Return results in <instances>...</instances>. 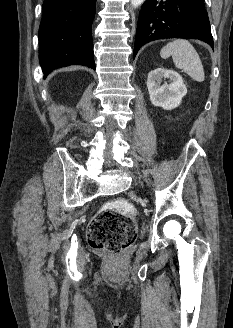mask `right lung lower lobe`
<instances>
[{"label": "right lung lower lobe", "mask_w": 233, "mask_h": 328, "mask_svg": "<svg viewBox=\"0 0 233 328\" xmlns=\"http://www.w3.org/2000/svg\"><path fill=\"white\" fill-rule=\"evenodd\" d=\"M96 0H44L39 28L43 73L71 64L95 69L92 22Z\"/></svg>", "instance_id": "98d812e1"}]
</instances>
